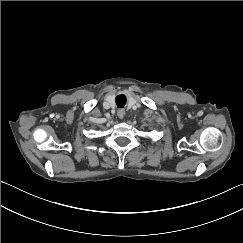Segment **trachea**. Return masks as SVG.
Instances as JSON below:
<instances>
[{
  "label": "trachea",
  "mask_w": 243,
  "mask_h": 243,
  "mask_svg": "<svg viewBox=\"0 0 243 243\" xmlns=\"http://www.w3.org/2000/svg\"><path fill=\"white\" fill-rule=\"evenodd\" d=\"M115 102L118 108L124 107L127 102L126 96L124 94L118 95L115 99Z\"/></svg>",
  "instance_id": "trachea-1"
}]
</instances>
